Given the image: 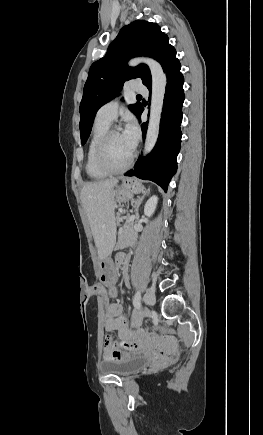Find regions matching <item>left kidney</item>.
I'll list each match as a JSON object with an SVG mask.
<instances>
[{"label":"left kidney","mask_w":263,"mask_h":435,"mask_svg":"<svg viewBox=\"0 0 263 435\" xmlns=\"http://www.w3.org/2000/svg\"><path fill=\"white\" fill-rule=\"evenodd\" d=\"M157 202H158V197L156 195H153L152 197L149 198V200L146 202L145 207H144V214L148 217H150L157 206Z\"/></svg>","instance_id":"left-kidney-1"}]
</instances>
